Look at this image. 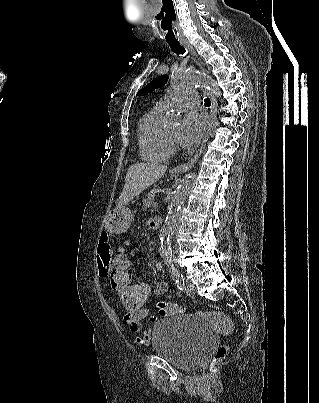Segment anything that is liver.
<instances>
[{
	"mask_svg": "<svg viewBox=\"0 0 319 403\" xmlns=\"http://www.w3.org/2000/svg\"><path fill=\"white\" fill-rule=\"evenodd\" d=\"M167 167L156 163H136L129 167L123 191L117 207H122L138 196L143 190L157 182L166 172Z\"/></svg>",
	"mask_w": 319,
	"mask_h": 403,
	"instance_id": "1",
	"label": "liver"
}]
</instances>
